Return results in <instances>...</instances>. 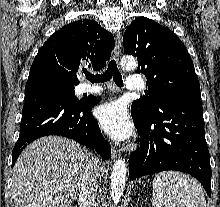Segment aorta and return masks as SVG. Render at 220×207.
I'll return each instance as SVG.
<instances>
[{"instance_id":"aorta-1","label":"aorta","mask_w":220,"mask_h":207,"mask_svg":"<svg viewBox=\"0 0 220 207\" xmlns=\"http://www.w3.org/2000/svg\"><path fill=\"white\" fill-rule=\"evenodd\" d=\"M121 66L125 70H134L137 68L138 63L133 56H124L121 59ZM127 167L124 159L117 160L112 169L111 183H110V195L112 201L117 204L119 203L123 194L126 179H127Z\"/></svg>"}]
</instances>
